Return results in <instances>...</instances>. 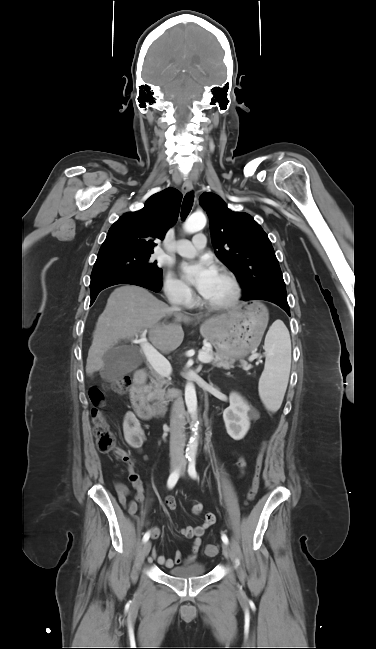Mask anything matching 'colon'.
<instances>
[{"label":"colon","instance_id":"obj_1","mask_svg":"<svg viewBox=\"0 0 376 649\" xmlns=\"http://www.w3.org/2000/svg\"><path fill=\"white\" fill-rule=\"evenodd\" d=\"M130 385L131 380L127 375L113 379L109 384L111 390L119 395L127 394ZM89 398L94 405L91 410V418L93 422V433L98 449L104 453H114L119 460L126 463L128 466H132L131 457L126 451L116 445L115 435L111 431L105 416L100 410V407L103 406V393L100 389L93 388L89 393ZM263 458V448H261L256 457L254 477L247 493V499L249 501L253 500L259 488ZM218 552L219 548L215 544H208L205 548V553L208 556H215Z\"/></svg>","mask_w":376,"mask_h":649}]
</instances>
